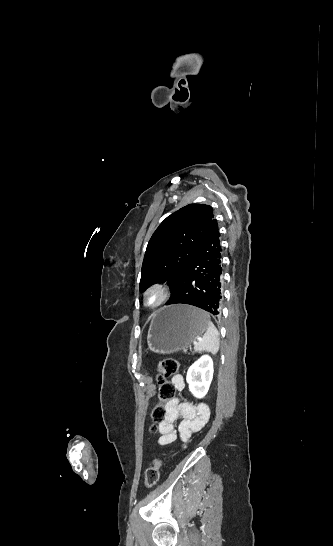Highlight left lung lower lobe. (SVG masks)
I'll return each instance as SVG.
<instances>
[{
  "label": "left lung lower lobe",
  "mask_w": 333,
  "mask_h": 546,
  "mask_svg": "<svg viewBox=\"0 0 333 546\" xmlns=\"http://www.w3.org/2000/svg\"><path fill=\"white\" fill-rule=\"evenodd\" d=\"M218 224L212 223L195 258L180 278L166 305L189 304L218 317L222 304V264Z\"/></svg>",
  "instance_id": "left-lung-lower-lobe-1"
}]
</instances>
